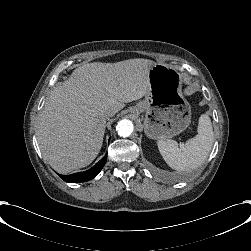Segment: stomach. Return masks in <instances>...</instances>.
I'll return each mask as SVG.
<instances>
[{
	"label": "stomach",
	"instance_id": "0dacf381",
	"mask_svg": "<svg viewBox=\"0 0 251 251\" xmlns=\"http://www.w3.org/2000/svg\"><path fill=\"white\" fill-rule=\"evenodd\" d=\"M148 92L131 110L144 112L143 127L151 139H169L188 128L191 106L182 93L183 77L174 68L154 64L148 71Z\"/></svg>",
	"mask_w": 251,
	"mask_h": 251
}]
</instances>
